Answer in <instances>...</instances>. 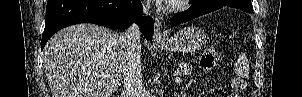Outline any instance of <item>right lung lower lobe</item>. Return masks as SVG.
Wrapping results in <instances>:
<instances>
[{"instance_id": "1", "label": "right lung lower lobe", "mask_w": 302, "mask_h": 97, "mask_svg": "<svg viewBox=\"0 0 302 97\" xmlns=\"http://www.w3.org/2000/svg\"><path fill=\"white\" fill-rule=\"evenodd\" d=\"M141 14L140 0H48L41 50L58 30L78 23L125 29L135 21L145 38L150 40L154 31L153 20L140 17Z\"/></svg>"}]
</instances>
